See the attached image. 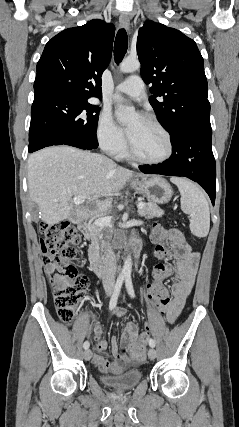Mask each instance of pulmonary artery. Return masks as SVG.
Masks as SVG:
<instances>
[{"instance_id": "obj_1", "label": "pulmonary artery", "mask_w": 239, "mask_h": 427, "mask_svg": "<svg viewBox=\"0 0 239 427\" xmlns=\"http://www.w3.org/2000/svg\"><path fill=\"white\" fill-rule=\"evenodd\" d=\"M116 91L128 95L134 100H141L144 97V83L139 76H130L117 85Z\"/></svg>"}]
</instances>
